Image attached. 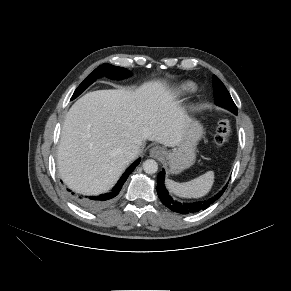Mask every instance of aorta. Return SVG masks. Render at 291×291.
<instances>
[{
  "label": "aorta",
  "instance_id": "762f6f07",
  "mask_svg": "<svg viewBox=\"0 0 291 291\" xmlns=\"http://www.w3.org/2000/svg\"><path fill=\"white\" fill-rule=\"evenodd\" d=\"M143 170L147 174H154L158 170V164L153 159H147L146 161L143 162Z\"/></svg>",
  "mask_w": 291,
  "mask_h": 291
}]
</instances>
